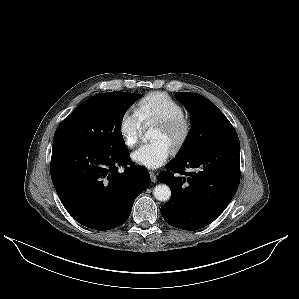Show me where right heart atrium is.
Returning a JSON list of instances; mask_svg holds the SVG:
<instances>
[{"label": "right heart atrium", "mask_w": 299, "mask_h": 299, "mask_svg": "<svg viewBox=\"0 0 299 299\" xmlns=\"http://www.w3.org/2000/svg\"><path fill=\"white\" fill-rule=\"evenodd\" d=\"M144 128V122L137 110H126L120 119L119 132L126 146L132 148L137 145Z\"/></svg>", "instance_id": "d8ad5b80"}]
</instances>
